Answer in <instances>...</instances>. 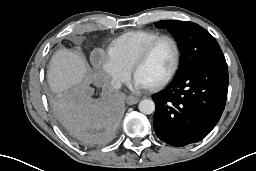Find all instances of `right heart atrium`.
I'll list each match as a JSON object with an SVG mask.
<instances>
[{
    "instance_id": "right-heart-atrium-1",
    "label": "right heart atrium",
    "mask_w": 256,
    "mask_h": 171,
    "mask_svg": "<svg viewBox=\"0 0 256 171\" xmlns=\"http://www.w3.org/2000/svg\"><path fill=\"white\" fill-rule=\"evenodd\" d=\"M93 60L114 86L118 87L127 80L129 69L118 63L108 53L96 51L93 53Z\"/></svg>"
}]
</instances>
